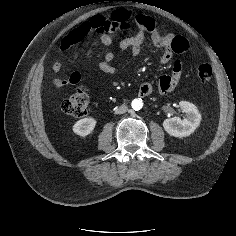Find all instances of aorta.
I'll use <instances>...</instances> for the list:
<instances>
[{
  "label": "aorta",
  "mask_w": 236,
  "mask_h": 236,
  "mask_svg": "<svg viewBox=\"0 0 236 236\" xmlns=\"http://www.w3.org/2000/svg\"><path fill=\"white\" fill-rule=\"evenodd\" d=\"M131 107L136 111L142 109V107H143L142 100L141 99H134L131 103Z\"/></svg>",
  "instance_id": "aorta-1"
}]
</instances>
